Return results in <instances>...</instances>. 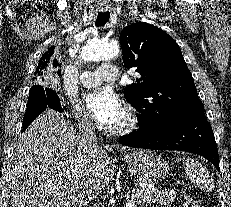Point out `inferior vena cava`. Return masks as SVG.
Masks as SVG:
<instances>
[{
	"mask_svg": "<svg viewBox=\"0 0 231 207\" xmlns=\"http://www.w3.org/2000/svg\"><path fill=\"white\" fill-rule=\"evenodd\" d=\"M77 140L80 148L89 153H94L98 149L97 138L95 133V124L87 115H84L80 119ZM86 196L88 199L94 197L91 186L87 185Z\"/></svg>",
	"mask_w": 231,
	"mask_h": 207,
	"instance_id": "1",
	"label": "inferior vena cava"
}]
</instances>
